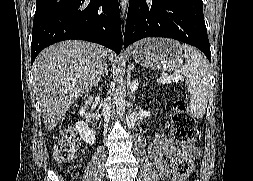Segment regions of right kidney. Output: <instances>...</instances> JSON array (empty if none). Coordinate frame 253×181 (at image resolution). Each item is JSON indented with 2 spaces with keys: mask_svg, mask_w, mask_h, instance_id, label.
<instances>
[{
  "mask_svg": "<svg viewBox=\"0 0 253 181\" xmlns=\"http://www.w3.org/2000/svg\"><path fill=\"white\" fill-rule=\"evenodd\" d=\"M85 113V107H81L79 114L83 115ZM75 130L79 134L80 138L89 145H93L95 143V132L91 130L87 123L83 121H78L75 124Z\"/></svg>",
  "mask_w": 253,
  "mask_h": 181,
  "instance_id": "ca27d5eb",
  "label": "right kidney"
}]
</instances>
